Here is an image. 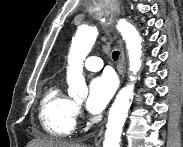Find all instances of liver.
Wrapping results in <instances>:
<instances>
[{"mask_svg": "<svg viewBox=\"0 0 183 147\" xmlns=\"http://www.w3.org/2000/svg\"><path fill=\"white\" fill-rule=\"evenodd\" d=\"M27 147H84V145L55 138H36Z\"/></svg>", "mask_w": 183, "mask_h": 147, "instance_id": "obj_1", "label": "liver"}]
</instances>
